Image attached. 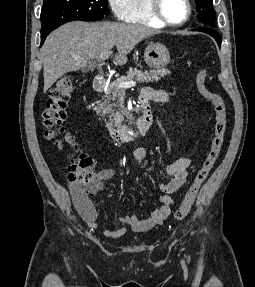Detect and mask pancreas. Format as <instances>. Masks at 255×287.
Returning a JSON list of instances; mask_svg holds the SVG:
<instances>
[{
  "mask_svg": "<svg viewBox=\"0 0 255 287\" xmlns=\"http://www.w3.org/2000/svg\"><path fill=\"white\" fill-rule=\"evenodd\" d=\"M126 74L127 76H121V78H117L115 82L109 84L102 102L96 108L97 114L102 112V118L109 116L108 124H112V126H121V122L124 120L122 114L114 110V108H117L118 94L126 90V88H118V84H121V82H133V80L134 82H154V80L157 82V80L164 78L170 72L166 68H158V70H150V72H147V70L141 72V70H136V68H129V72H126Z\"/></svg>",
  "mask_w": 255,
  "mask_h": 287,
  "instance_id": "1",
  "label": "pancreas"
}]
</instances>
